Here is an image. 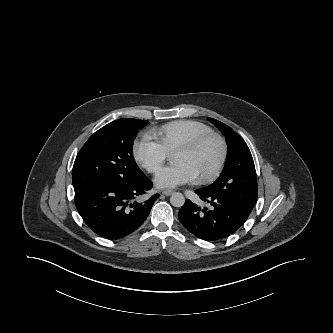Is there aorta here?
<instances>
[{
    "label": "aorta",
    "mask_w": 333,
    "mask_h": 333,
    "mask_svg": "<svg viewBox=\"0 0 333 333\" xmlns=\"http://www.w3.org/2000/svg\"><path fill=\"white\" fill-rule=\"evenodd\" d=\"M170 203L174 206V207H181L184 205L185 203V198L183 196L182 193L179 192H175L171 195L170 197Z\"/></svg>",
    "instance_id": "762f6f07"
}]
</instances>
